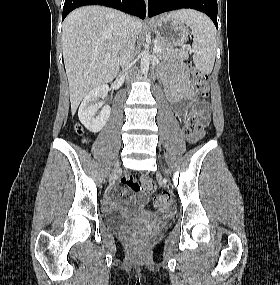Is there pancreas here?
I'll return each instance as SVG.
<instances>
[{"label": "pancreas", "mask_w": 280, "mask_h": 285, "mask_svg": "<svg viewBox=\"0 0 280 285\" xmlns=\"http://www.w3.org/2000/svg\"><path fill=\"white\" fill-rule=\"evenodd\" d=\"M155 46L160 47V51L156 53V55L161 60L172 58L187 60L189 57L188 52L185 49L175 48L174 45L160 38L156 39Z\"/></svg>", "instance_id": "pancreas-1"}]
</instances>
